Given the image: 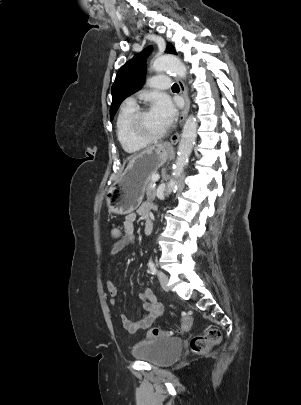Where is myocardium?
Listing matches in <instances>:
<instances>
[{"instance_id":"1","label":"myocardium","mask_w":301,"mask_h":405,"mask_svg":"<svg viewBox=\"0 0 301 405\" xmlns=\"http://www.w3.org/2000/svg\"><path fill=\"white\" fill-rule=\"evenodd\" d=\"M149 110L147 108H139L136 109V111L132 114L130 121H129V131L131 133V135L138 141L144 142V143H152V142H156L160 139H162L163 137H165L170 128L166 127L162 132L155 134V135H149L144 133L141 130V120L142 117L144 116V114L146 112H148Z\"/></svg>"}]
</instances>
